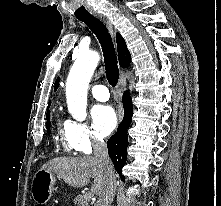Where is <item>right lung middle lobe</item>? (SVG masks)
<instances>
[{"label": "right lung middle lobe", "instance_id": "obj_1", "mask_svg": "<svg viewBox=\"0 0 221 206\" xmlns=\"http://www.w3.org/2000/svg\"><path fill=\"white\" fill-rule=\"evenodd\" d=\"M50 113L48 112V114H47V132H48V134H50Z\"/></svg>", "mask_w": 221, "mask_h": 206}]
</instances>
